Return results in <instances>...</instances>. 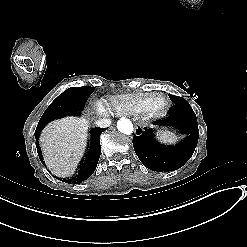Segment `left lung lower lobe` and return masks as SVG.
<instances>
[{
	"instance_id": "1",
	"label": "left lung lower lobe",
	"mask_w": 247,
	"mask_h": 247,
	"mask_svg": "<svg viewBox=\"0 0 247 247\" xmlns=\"http://www.w3.org/2000/svg\"><path fill=\"white\" fill-rule=\"evenodd\" d=\"M160 125L174 126L186 134L183 142L176 146L159 143L153 130L139 128L133 137L134 150L144 166L154 171H174L182 167L193 155L197 146L199 130L197 118L189 104L174 105L168 118Z\"/></svg>"
}]
</instances>
